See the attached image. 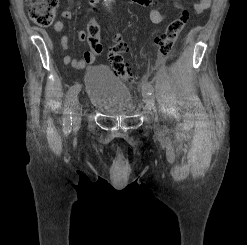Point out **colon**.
I'll return each instance as SVG.
<instances>
[{
  "label": "colon",
  "instance_id": "obj_1",
  "mask_svg": "<svg viewBox=\"0 0 247 245\" xmlns=\"http://www.w3.org/2000/svg\"><path fill=\"white\" fill-rule=\"evenodd\" d=\"M59 0H26L29 16L33 22L40 26H50L55 18L56 9ZM188 13L183 12L173 19L165 31L156 39L160 53L164 57H169L175 43L186 26ZM87 41L91 50L99 54L102 52V44L100 40V28L94 19H90L87 25ZM128 51L127 46L122 42H115L109 49L108 59L115 73L124 81L135 84L138 80L125 61V54Z\"/></svg>",
  "mask_w": 247,
  "mask_h": 245
}]
</instances>
